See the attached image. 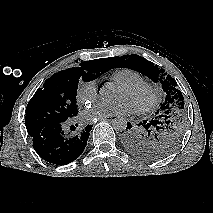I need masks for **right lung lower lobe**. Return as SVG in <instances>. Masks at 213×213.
Instances as JSON below:
<instances>
[{
	"mask_svg": "<svg viewBox=\"0 0 213 213\" xmlns=\"http://www.w3.org/2000/svg\"><path fill=\"white\" fill-rule=\"evenodd\" d=\"M65 124L53 123L31 135L37 154L55 165H66L77 159L84 151L92 129V125H87L82 132L71 134L64 131Z\"/></svg>",
	"mask_w": 213,
	"mask_h": 213,
	"instance_id": "98d812e1",
	"label": "right lung lower lobe"
}]
</instances>
